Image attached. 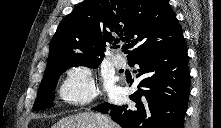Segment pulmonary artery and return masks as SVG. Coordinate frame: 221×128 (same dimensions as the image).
<instances>
[{
  "label": "pulmonary artery",
  "mask_w": 221,
  "mask_h": 128,
  "mask_svg": "<svg viewBox=\"0 0 221 128\" xmlns=\"http://www.w3.org/2000/svg\"><path fill=\"white\" fill-rule=\"evenodd\" d=\"M112 62L116 68H124L126 65V60L119 54H114L112 56Z\"/></svg>",
  "instance_id": "1"
}]
</instances>
